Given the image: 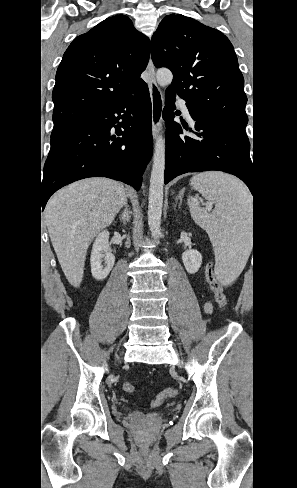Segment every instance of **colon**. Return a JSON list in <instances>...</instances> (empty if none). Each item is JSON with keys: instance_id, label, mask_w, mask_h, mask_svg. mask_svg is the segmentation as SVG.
<instances>
[{"instance_id": "1", "label": "colon", "mask_w": 297, "mask_h": 488, "mask_svg": "<svg viewBox=\"0 0 297 488\" xmlns=\"http://www.w3.org/2000/svg\"><path fill=\"white\" fill-rule=\"evenodd\" d=\"M205 277L209 284V288L214 296L216 303L220 307H225L227 303V297L224 293L223 287L216 278L215 275V268L212 262L207 263L205 267ZM123 390L128 393L132 394L135 392V386L131 382H125L123 384ZM178 394V390L176 388L170 387L162 392H160L151 402L152 407L160 406L166 399L173 398Z\"/></svg>"}]
</instances>
